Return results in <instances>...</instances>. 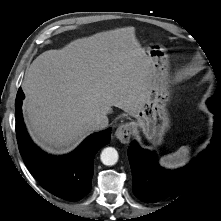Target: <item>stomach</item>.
<instances>
[{
  "instance_id": "stomach-1",
  "label": "stomach",
  "mask_w": 221,
  "mask_h": 221,
  "mask_svg": "<svg viewBox=\"0 0 221 221\" xmlns=\"http://www.w3.org/2000/svg\"><path fill=\"white\" fill-rule=\"evenodd\" d=\"M145 51L152 60V85L130 127L133 132L141 131L153 146H159L171 123L168 112L171 100L169 60L159 44H150Z\"/></svg>"
}]
</instances>
